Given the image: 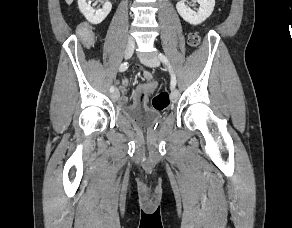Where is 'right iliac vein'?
<instances>
[{"mask_svg": "<svg viewBox=\"0 0 292 228\" xmlns=\"http://www.w3.org/2000/svg\"><path fill=\"white\" fill-rule=\"evenodd\" d=\"M134 49H135V44L133 42H128L124 51L125 59L131 58V56L133 55ZM111 97L113 100H118L119 98L118 90L114 91Z\"/></svg>", "mask_w": 292, "mask_h": 228, "instance_id": "1", "label": "right iliac vein"}]
</instances>
